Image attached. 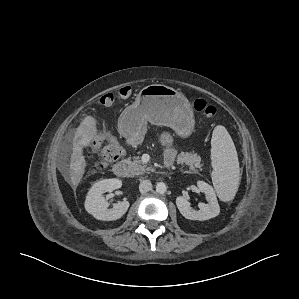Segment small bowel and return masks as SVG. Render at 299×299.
<instances>
[{
    "mask_svg": "<svg viewBox=\"0 0 299 299\" xmlns=\"http://www.w3.org/2000/svg\"><path fill=\"white\" fill-rule=\"evenodd\" d=\"M160 139L161 142L167 147L165 151V160L168 164L172 163L176 156V151L172 147V138L169 133L165 132L161 135Z\"/></svg>",
    "mask_w": 299,
    "mask_h": 299,
    "instance_id": "obj_1",
    "label": "small bowel"
}]
</instances>
